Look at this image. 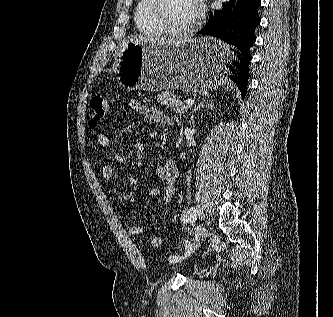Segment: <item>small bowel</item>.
I'll use <instances>...</instances> for the list:
<instances>
[{"instance_id":"1","label":"small bowel","mask_w":333,"mask_h":317,"mask_svg":"<svg viewBox=\"0 0 333 317\" xmlns=\"http://www.w3.org/2000/svg\"><path fill=\"white\" fill-rule=\"evenodd\" d=\"M128 105L131 110L142 113L146 118L152 121L163 124L171 123L170 118L157 107L146 105L137 99H131ZM97 143L99 146L106 149L110 148L112 145L110 137L104 132L97 134ZM112 158L113 162L105 165L102 170L104 182H109L114 174L115 167L122 166L125 161L124 156L119 152L113 153ZM156 174L161 181V186L152 188L149 194L152 197L160 196L162 202L165 204V207L155 219L157 222L163 220L170 212V205L176 190L175 182L178 178L176 163L171 159L164 161L157 167ZM127 232L131 235H140L144 232V227L130 225L127 227Z\"/></svg>"}]
</instances>
